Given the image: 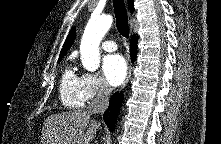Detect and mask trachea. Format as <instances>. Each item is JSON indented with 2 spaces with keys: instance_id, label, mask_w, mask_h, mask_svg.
<instances>
[{
  "instance_id": "obj_1",
  "label": "trachea",
  "mask_w": 221,
  "mask_h": 144,
  "mask_svg": "<svg viewBox=\"0 0 221 144\" xmlns=\"http://www.w3.org/2000/svg\"><path fill=\"white\" fill-rule=\"evenodd\" d=\"M116 25L119 33L125 37H129L128 17L124 4V0H113Z\"/></svg>"
}]
</instances>
